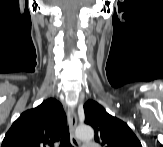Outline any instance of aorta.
<instances>
[{
  "mask_svg": "<svg viewBox=\"0 0 163 147\" xmlns=\"http://www.w3.org/2000/svg\"><path fill=\"white\" fill-rule=\"evenodd\" d=\"M76 137L80 140H92L94 138V130L89 125H80L76 129Z\"/></svg>",
  "mask_w": 163,
  "mask_h": 147,
  "instance_id": "1",
  "label": "aorta"
}]
</instances>
